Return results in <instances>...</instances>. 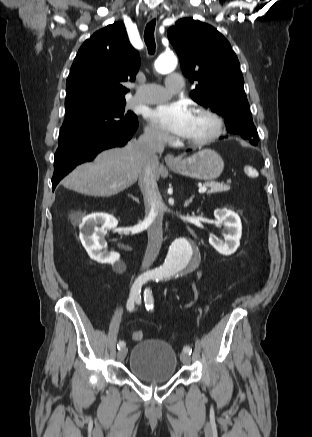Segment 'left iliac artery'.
<instances>
[{"label": "left iliac artery", "mask_w": 312, "mask_h": 437, "mask_svg": "<svg viewBox=\"0 0 312 437\" xmlns=\"http://www.w3.org/2000/svg\"><path fill=\"white\" fill-rule=\"evenodd\" d=\"M155 280L158 281V278H155ZM144 301H145L146 308L148 310H153L154 300L152 296V291L149 288L145 289L144 291ZM183 351L190 355L192 353V348L186 345L184 346Z\"/></svg>", "instance_id": "1"}]
</instances>
